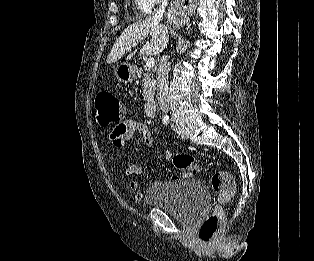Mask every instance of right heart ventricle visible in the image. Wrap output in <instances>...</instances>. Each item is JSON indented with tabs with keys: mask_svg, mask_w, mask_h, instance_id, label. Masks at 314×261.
<instances>
[{
	"mask_svg": "<svg viewBox=\"0 0 314 261\" xmlns=\"http://www.w3.org/2000/svg\"><path fill=\"white\" fill-rule=\"evenodd\" d=\"M136 3V7L138 10L142 11V12H147L145 10V7L143 6L142 2L140 0H135Z\"/></svg>",
	"mask_w": 314,
	"mask_h": 261,
	"instance_id": "right-heart-ventricle-1",
	"label": "right heart ventricle"
}]
</instances>
